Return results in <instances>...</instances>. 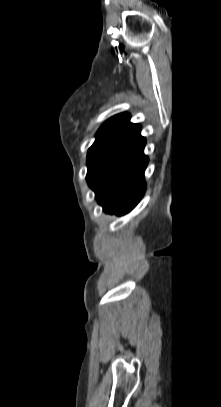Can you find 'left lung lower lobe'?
Masks as SVG:
<instances>
[{"label":"left lung lower lobe","instance_id":"obj_1","mask_svg":"<svg viewBox=\"0 0 221 407\" xmlns=\"http://www.w3.org/2000/svg\"><path fill=\"white\" fill-rule=\"evenodd\" d=\"M140 125L130 124L108 147L87 174V182L103 210L118 215L130 212L146 190V140Z\"/></svg>","mask_w":221,"mask_h":407}]
</instances>
